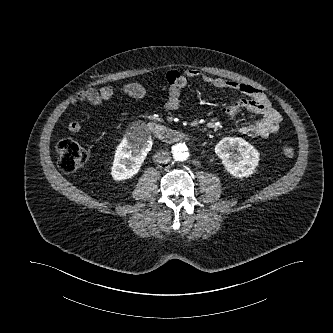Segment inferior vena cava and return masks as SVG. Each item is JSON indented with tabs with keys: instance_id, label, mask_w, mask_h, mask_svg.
<instances>
[{
	"instance_id": "602c4592",
	"label": "inferior vena cava",
	"mask_w": 333,
	"mask_h": 333,
	"mask_svg": "<svg viewBox=\"0 0 333 333\" xmlns=\"http://www.w3.org/2000/svg\"><path fill=\"white\" fill-rule=\"evenodd\" d=\"M170 153L166 150L158 151L154 154V162L159 164H165L170 161Z\"/></svg>"
}]
</instances>
